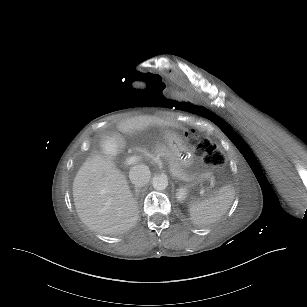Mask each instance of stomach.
Segmentation results:
<instances>
[{"instance_id":"1","label":"stomach","mask_w":307,"mask_h":307,"mask_svg":"<svg viewBox=\"0 0 307 307\" xmlns=\"http://www.w3.org/2000/svg\"><path fill=\"white\" fill-rule=\"evenodd\" d=\"M169 147L175 160L178 162L184 177V181H193L197 178L194 164V148L188 143V139L175 132H167Z\"/></svg>"}]
</instances>
